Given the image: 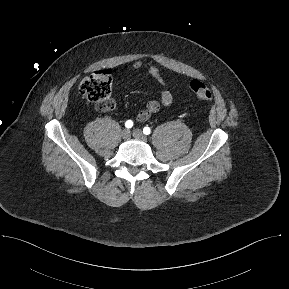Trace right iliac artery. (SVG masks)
I'll return each instance as SVG.
<instances>
[{"mask_svg":"<svg viewBox=\"0 0 289 289\" xmlns=\"http://www.w3.org/2000/svg\"><path fill=\"white\" fill-rule=\"evenodd\" d=\"M126 128H131L133 126V121L132 120H127L125 123Z\"/></svg>","mask_w":289,"mask_h":289,"instance_id":"right-iliac-artery-1","label":"right iliac artery"}]
</instances>
